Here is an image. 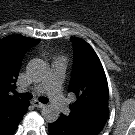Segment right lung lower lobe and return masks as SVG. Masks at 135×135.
I'll return each mask as SVG.
<instances>
[{"instance_id": "obj_1", "label": "right lung lower lobe", "mask_w": 135, "mask_h": 135, "mask_svg": "<svg viewBox=\"0 0 135 135\" xmlns=\"http://www.w3.org/2000/svg\"><path fill=\"white\" fill-rule=\"evenodd\" d=\"M29 104L30 103L27 101V103L25 104V112L22 114V116L20 117V119L15 124L10 125L8 127L1 126V128H0V135H12L15 132V130L18 127L19 122L23 118V115L26 113Z\"/></svg>"}]
</instances>
